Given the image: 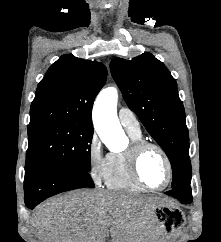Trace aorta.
Instances as JSON below:
<instances>
[{"instance_id": "obj_1", "label": "aorta", "mask_w": 221, "mask_h": 242, "mask_svg": "<svg viewBox=\"0 0 221 242\" xmlns=\"http://www.w3.org/2000/svg\"><path fill=\"white\" fill-rule=\"evenodd\" d=\"M117 102V89L108 87L99 93L93 108L95 130L100 139L112 150L126 138L117 117Z\"/></svg>"}]
</instances>
